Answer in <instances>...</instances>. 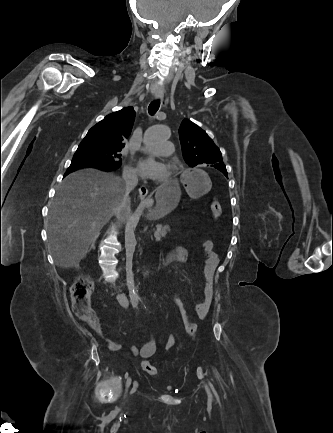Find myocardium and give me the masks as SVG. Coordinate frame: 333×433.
<instances>
[{"instance_id": "myocardium-1", "label": "myocardium", "mask_w": 333, "mask_h": 433, "mask_svg": "<svg viewBox=\"0 0 333 433\" xmlns=\"http://www.w3.org/2000/svg\"><path fill=\"white\" fill-rule=\"evenodd\" d=\"M172 171H173V166L172 165H168V177L170 176V174L172 173Z\"/></svg>"}]
</instances>
